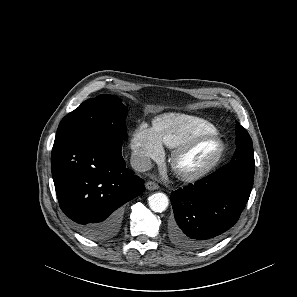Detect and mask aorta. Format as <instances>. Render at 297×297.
Masks as SVG:
<instances>
[{
  "instance_id": "762f6f07",
  "label": "aorta",
  "mask_w": 297,
  "mask_h": 297,
  "mask_svg": "<svg viewBox=\"0 0 297 297\" xmlns=\"http://www.w3.org/2000/svg\"><path fill=\"white\" fill-rule=\"evenodd\" d=\"M148 204L152 211L161 213L168 207L169 200L164 193H155L148 198Z\"/></svg>"
}]
</instances>
